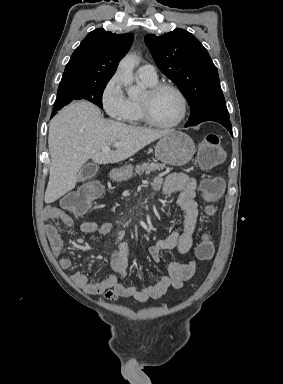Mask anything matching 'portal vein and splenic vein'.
<instances>
[{
  "label": "portal vein and splenic vein",
  "instance_id": "obj_1",
  "mask_svg": "<svg viewBox=\"0 0 283 384\" xmlns=\"http://www.w3.org/2000/svg\"><path fill=\"white\" fill-rule=\"evenodd\" d=\"M114 148H118L120 144H113ZM102 152H111L110 148H107V146H104V148H101Z\"/></svg>",
  "mask_w": 283,
  "mask_h": 384
}]
</instances>
